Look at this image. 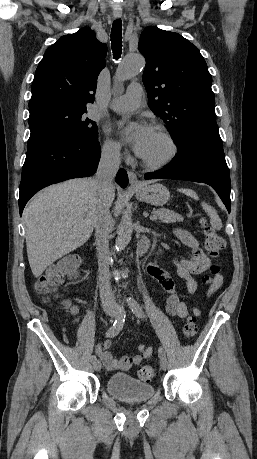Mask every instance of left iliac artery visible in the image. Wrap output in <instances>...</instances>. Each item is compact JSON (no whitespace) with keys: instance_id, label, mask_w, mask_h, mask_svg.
I'll list each match as a JSON object with an SVG mask.
<instances>
[{"instance_id":"obj_1","label":"left iliac artery","mask_w":257,"mask_h":459,"mask_svg":"<svg viewBox=\"0 0 257 459\" xmlns=\"http://www.w3.org/2000/svg\"><path fill=\"white\" fill-rule=\"evenodd\" d=\"M128 304H129L131 311L135 314L136 317L144 318V312L142 308L133 298H129ZM158 355L160 358L165 357V351L162 347H159Z\"/></svg>"}]
</instances>
